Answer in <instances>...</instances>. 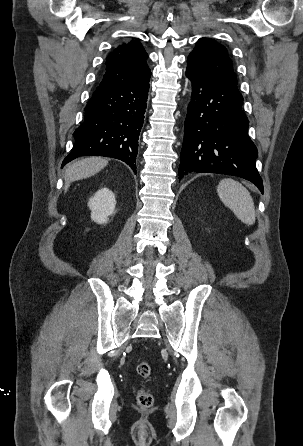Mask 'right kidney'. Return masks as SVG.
<instances>
[{
  "mask_svg": "<svg viewBox=\"0 0 303 446\" xmlns=\"http://www.w3.org/2000/svg\"><path fill=\"white\" fill-rule=\"evenodd\" d=\"M115 205L116 199L112 191L108 188L98 190L88 202L91 219L98 224H106L108 217L114 214Z\"/></svg>",
  "mask_w": 303,
  "mask_h": 446,
  "instance_id": "obj_1",
  "label": "right kidney"
}]
</instances>
